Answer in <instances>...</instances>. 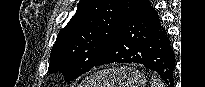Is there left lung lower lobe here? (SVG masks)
Segmentation results:
<instances>
[{"label":"left lung lower lobe","instance_id":"left-lung-lower-lobe-1","mask_svg":"<svg viewBox=\"0 0 205 87\" xmlns=\"http://www.w3.org/2000/svg\"><path fill=\"white\" fill-rule=\"evenodd\" d=\"M139 63L173 85L175 57L165 28L148 0H137L96 66Z\"/></svg>","mask_w":205,"mask_h":87}]
</instances>
